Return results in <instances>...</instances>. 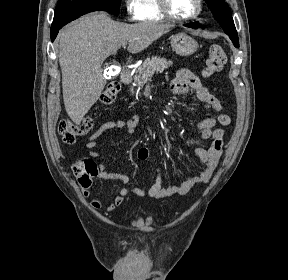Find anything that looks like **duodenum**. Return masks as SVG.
Instances as JSON below:
<instances>
[{"instance_id":"1","label":"duodenum","mask_w":288,"mask_h":280,"mask_svg":"<svg viewBox=\"0 0 288 280\" xmlns=\"http://www.w3.org/2000/svg\"><path fill=\"white\" fill-rule=\"evenodd\" d=\"M132 79V72L127 67L123 68L121 72V81L124 84H128Z\"/></svg>"}]
</instances>
